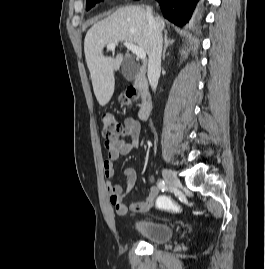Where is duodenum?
Segmentation results:
<instances>
[{
	"mask_svg": "<svg viewBox=\"0 0 265 269\" xmlns=\"http://www.w3.org/2000/svg\"><path fill=\"white\" fill-rule=\"evenodd\" d=\"M134 86L139 90L141 96V105L138 111V117L141 120H145L150 114L152 102L148 90V80L143 70L137 74Z\"/></svg>",
	"mask_w": 265,
	"mask_h": 269,
	"instance_id": "obj_1",
	"label": "duodenum"
}]
</instances>
